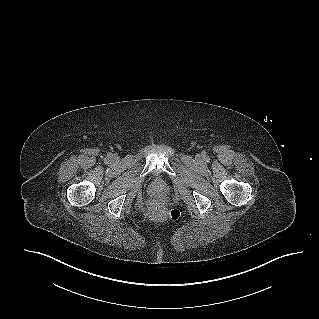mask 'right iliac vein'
<instances>
[{"label": "right iliac vein", "mask_w": 319, "mask_h": 319, "mask_svg": "<svg viewBox=\"0 0 319 319\" xmlns=\"http://www.w3.org/2000/svg\"><path fill=\"white\" fill-rule=\"evenodd\" d=\"M112 159H113V160H116V157H113Z\"/></svg>", "instance_id": "1"}]
</instances>
